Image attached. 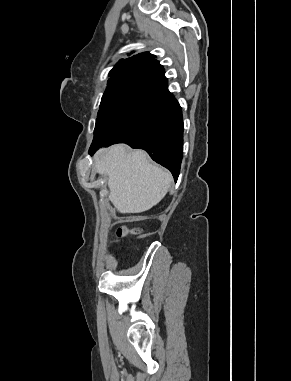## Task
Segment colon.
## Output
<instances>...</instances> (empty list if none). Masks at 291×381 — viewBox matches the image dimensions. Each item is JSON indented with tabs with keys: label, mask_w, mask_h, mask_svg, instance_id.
Here are the masks:
<instances>
[{
	"label": "colon",
	"mask_w": 291,
	"mask_h": 381,
	"mask_svg": "<svg viewBox=\"0 0 291 381\" xmlns=\"http://www.w3.org/2000/svg\"><path fill=\"white\" fill-rule=\"evenodd\" d=\"M138 233V228H128L126 226H121L116 231L117 237L120 239L126 238L129 235H137Z\"/></svg>",
	"instance_id": "5ec220e1"
}]
</instances>
